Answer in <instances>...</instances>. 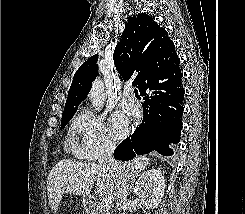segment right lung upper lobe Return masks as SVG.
Here are the masks:
<instances>
[{
  "instance_id": "cb5924a9",
  "label": "right lung upper lobe",
  "mask_w": 245,
  "mask_h": 214,
  "mask_svg": "<svg viewBox=\"0 0 245 214\" xmlns=\"http://www.w3.org/2000/svg\"><path fill=\"white\" fill-rule=\"evenodd\" d=\"M113 59L121 79H134L133 85L139 92L143 90L150 71L168 64L177 66L180 61L166 30L145 13L128 19ZM97 60L98 55L88 58L76 71L63 115L75 113L80 102L87 97L98 74Z\"/></svg>"
}]
</instances>
